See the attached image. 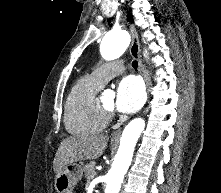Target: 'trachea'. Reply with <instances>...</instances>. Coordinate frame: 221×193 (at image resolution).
<instances>
[{"mask_svg":"<svg viewBox=\"0 0 221 193\" xmlns=\"http://www.w3.org/2000/svg\"><path fill=\"white\" fill-rule=\"evenodd\" d=\"M132 66H133V68H137V66H138V62L135 60V61H133L132 62Z\"/></svg>","mask_w":221,"mask_h":193,"instance_id":"trachea-1","label":"trachea"}]
</instances>
